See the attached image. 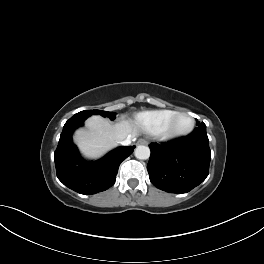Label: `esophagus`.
Segmentation results:
<instances>
[{
  "instance_id": "1",
  "label": "esophagus",
  "mask_w": 264,
  "mask_h": 264,
  "mask_svg": "<svg viewBox=\"0 0 264 264\" xmlns=\"http://www.w3.org/2000/svg\"><path fill=\"white\" fill-rule=\"evenodd\" d=\"M138 144H147V141H145V140H139L138 141Z\"/></svg>"
}]
</instances>
